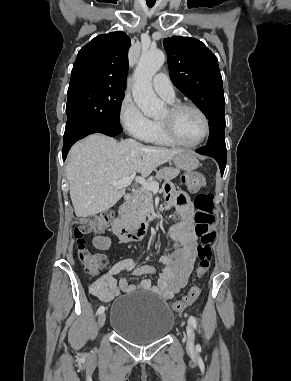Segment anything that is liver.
Wrapping results in <instances>:
<instances>
[{"label": "liver", "instance_id": "1", "mask_svg": "<svg viewBox=\"0 0 291 381\" xmlns=\"http://www.w3.org/2000/svg\"><path fill=\"white\" fill-rule=\"evenodd\" d=\"M182 152L185 151L145 146L134 139L117 142L102 134L89 135L71 148L66 166L76 216L86 218L113 207L125 191L111 181L133 172L145 178Z\"/></svg>", "mask_w": 291, "mask_h": 381}]
</instances>
